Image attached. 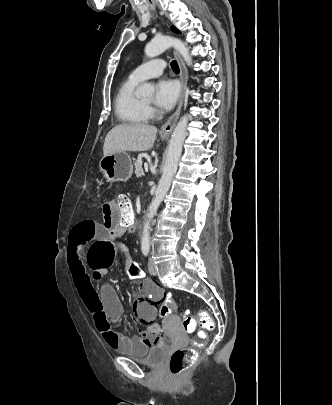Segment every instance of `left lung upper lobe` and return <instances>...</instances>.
I'll return each instance as SVG.
<instances>
[{
  "mask_svg": "<svg viewBox=\"0 0 332 405\" xmlns=\"http://www.w3.org/2000/svg\"><path fill=\"white\" fill-rule=\"evenodd\" d=\"M172 30H173L175 33H178V30H177L175 27H172Z\"/></svg>",
  "mask_w": 332,
  "mask_h": 405,
  "instance_id": "left-lung-upper-lobe-1",
  "label": "left lung upper lobe"
}]
</instances>
